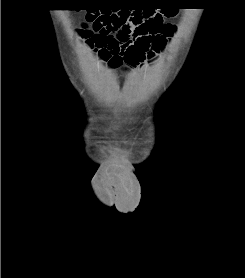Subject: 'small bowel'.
Returning <instances> with one entry per match:
<instances>
[{"label": "small bowel", "instance_id": "obj_1", "mask_svg": "<svg viewBox=\"0 0 245 278\" xmlns=\"http://www.w3.org/2000/svg\"><path fill=\"white\" fill-rule=\"evenodd\" d=\"M81 35L90 43L101 45L104 58L112 65L118 66L126 63L131 67H141L146 63H151L157 59L160 51L167 38H161L162 44L155 47L152 43L143 46L138 38H133L126 44L119 41L115 34L105 37L101 42L95 38H90L87 33Z\"/></svg>", "mask_w": 245, "mask_h": 278}]
</instances>
